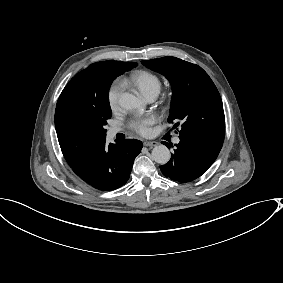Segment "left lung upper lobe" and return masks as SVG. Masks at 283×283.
<instances>
[{"label":"left lung upper lobe","instance_id":"obj_1","mask_svg":"<svg viewBox=\"0 0 283 283\" xmlns=\"http://www.w3.org/2000/svg\"><path fill=\"white\" fill-rule=\"evenodd\" d=\"M142 63L170 81L173 98L168 122L181 121L180 136L223 144V104L208 74L198 65L171 56Z\"/></svg>","mask_w":283,"mask_h":283}]
</instances>
